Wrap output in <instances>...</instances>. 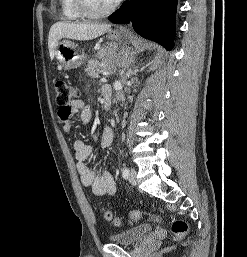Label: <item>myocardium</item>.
<instances>
[{"label":"myocardium","instance_id":"f54148a6","mask_svg":"<svg viewBox=\"0 0 247 257\" xmlns=\"http://www.w3.org/2000/svg\"><path fill=\"white\" fill-rule=\"evenodd\" d=\"M78 11L85 18L97 19L111 14L120 4L121 0H115L108 7L102 10H95L91 7L89 0H75Z\"/></svg>","mask_w":247,"mask_h":257}]
</instances>
